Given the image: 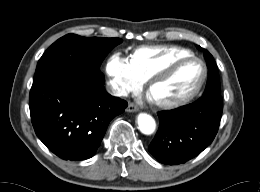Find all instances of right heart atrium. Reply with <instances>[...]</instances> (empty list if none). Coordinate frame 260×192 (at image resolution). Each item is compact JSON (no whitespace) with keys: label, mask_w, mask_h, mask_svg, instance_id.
<instances>
[{"label":"right heart atrium","mask_w":260,"mask_h":192,"mask_svg":"<svg viewBox=\"0 0 260 192\" xmlns=\"http://www.w3.org/2000/svg\"><path fill=\"white\" fill-rule=\"evenodd\" d=\"M106 69L114 86L123 93L137 91L143 84L132 62L118 55L109 58Z\"/></svg>","instance_id":"1"}]
</instances>
